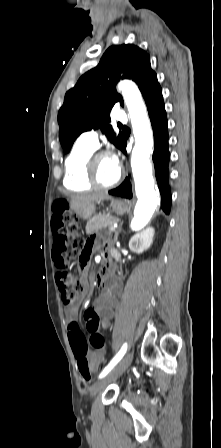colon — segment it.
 <instances>
[{
  "label": "colon",
  "instance_id": "1",
  "mask_svg": "<svg viewBox=\"0 0 221 448\" xmlns=\"http://www.w3.org/2000/svg\"><path fill=\"white\" fill-rule=\"evenodd\" d=\"M55 208L58 215L52 219V226L57 231L53 259L59 269L57 281L62 302L66 307H70L75 304L84 288L82 283L73 277L69 263L78 259L81 263L87 264L90 248L78 231L77 217L69 212L68 203L65 200H59ZM84 320L89 333L88 342L86 338L81 337V330L75 322L69 326V338L77 359L79 374L83 380L90 382L92 371L87 360L88 343L91 347L99 349L105 346V339L98 330L99 317L93 308L86 310Z\"/></svg>",
  "mask_w": 221,
  "mask_h": 448
}]
</instances>
